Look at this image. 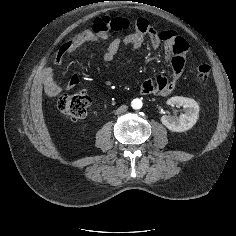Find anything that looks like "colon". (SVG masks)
<instances>
[{
    "label": "colon",
    "mask_w": 236,
    "mask_h": 236,
    "mask_svg": "<svg viewBox=\"0 0 236 236\" xmlns=\"http://www.w3.org/2000/svg\"><path fill=\"white\" fill-rule=\"evenodd\" d=\"M103 18L94 21L93 26H102ZM130 21L126 18L111 19L109 29L111 31H123L128 29ZM210 75V66L208 64H200L196 68V79L198 81H206ZM91 100L85 92L76 94H65L59 97L57 106L59 111L69 120L78 121L83 119L90 108Z\"/></svg>",
    "instance_id": "colon-1"
}]
</instances>
